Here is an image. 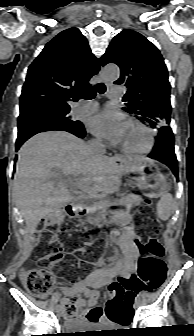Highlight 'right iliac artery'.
Returning <instances> with one entry per match:
<instances>
[{
  "label": "right iliac artery",
  "mask_w": 194,
  "mask_h": 336,
  "mask_svg": "<svg viewBox=\"0 0 194 336\" xmlns=\"http://www.w3.org/2000/svg\"><path fill=\"white\" fill-rule=\"evenodd\" d=\"M62 305H63V301L61 302V305H59L58 307H62Z\"/></svg>",
  "instance_id": "obj_1"
}]
</instances>
